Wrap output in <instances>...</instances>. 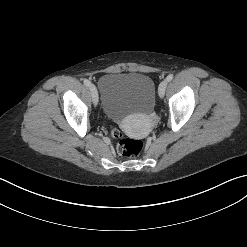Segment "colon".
<instances>
[{"instance_id":"1","label":"colon","mask_w":247,"mask_h":247,"mask_svg":"<svg viewBox=\"0 0 247 247\" xmlns=\"http://www.w3.org/2000/svg\"><path fill=\"white\" fill-rule=\"evenodd\" d=\"M111 135L118 140L117 150L120 155L125 157H136L141 153L143 143L140 140L124 138L122 133L117 129H112Z\"/></svg>"}]
</instances>
